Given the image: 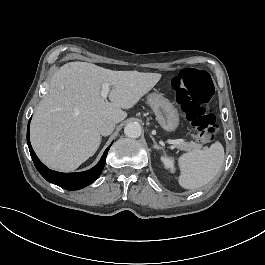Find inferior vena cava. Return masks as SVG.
Returning <instances> with one entry per match:
<instances>
[{
    "instance_id": "1",
    "label": "inferior vena cava",
    "mask_w": 265,
    "mask_h": 265,
    "mask_svg": "<svg viewBox=\"0 0 265 265\" xmlns=\"http://www.w3.org/2000/svg\"><path fill=\"white\" fill-rule=\"evenodd\" d=\"M96 125L99 133L103 136L110 135L115 129V122L108 119H99Z\"/></svg>"
}]
</instances>
